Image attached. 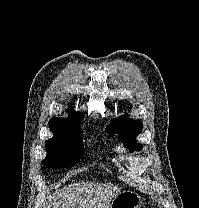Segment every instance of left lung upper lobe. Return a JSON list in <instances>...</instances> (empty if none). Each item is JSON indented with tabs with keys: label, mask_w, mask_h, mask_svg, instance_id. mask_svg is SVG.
Listing matches in <instances>:
<instances>
[{
	"label": "left lung upper lobe",
	"mask_w": 199,
	"mask_h": 208,
	"mask_svg": "<svg viewBox=\"0 0 199 208\" xmlns=\"http://www.w3.org/2000/svg\"><path fill=\"white\" fill-rule=\"evenodd\" d=\"M142 128L143 124L140 120H132L127 115H124L113 120L107 127V131L110 134L118 132L119 139L129 148L130 152H133L142 149V145L135 142V138L141 132Z\"/></svg>",
	"instance_id": "left-lung-upper-lobe-1"
}]
</instances>
